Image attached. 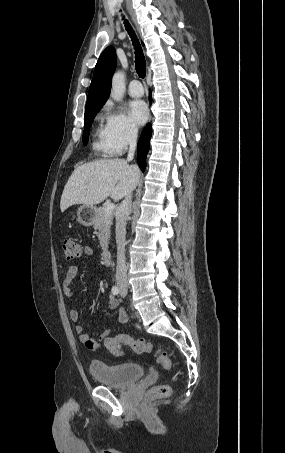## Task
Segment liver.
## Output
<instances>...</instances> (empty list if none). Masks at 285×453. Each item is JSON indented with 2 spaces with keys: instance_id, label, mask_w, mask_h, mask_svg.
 Returning a JSON list of instances; mask_svg holds the SVG:
<instances>
[{
  "instance_id": "obj_1",
  "label": "liver",
  "mask_w": 285,
  "mask_h": 453,
  "mask_svg": "<svg viewBox=\"0 0 285 453\" xmlns=\"http://www.w3.org/2000/svg\"><path fill=\"white\" fill-rule=\"evenodd\" d=\"M139 178V168L120 158L82 164L73 171L64 187L61 212L74 204H99L108 196L118 201L131 194Z\"/></svg>"
}]
</instances>
